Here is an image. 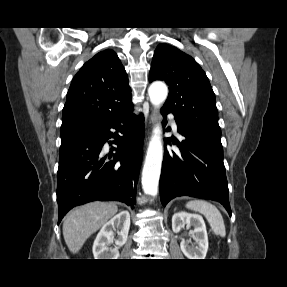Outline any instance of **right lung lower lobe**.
Wrapping results in <instances>:
<instances>
[{"instance_id":"1","label":"right lung lower lobe","mask_w":287,"mask_h":287,"mask_svg":"<svg viewBox=\"0 0 287 287\" xmlns=\"http://www.w3.org/2000/svg\"><path fill=\"white\" fill-rule=\"evenodd\" d=\"M115 129L116 132H113ZM110 138L115 154L103 146ZM144 117L133 106L61 138L57 173L58 224L75 206L91 201H121L134 207L142 162Z\"/></svg>"}]
</instances>
